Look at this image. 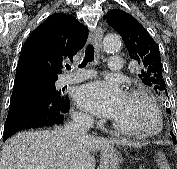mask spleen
<instances>
[{
	"mask_svg": "<svg viewBox=\"0 0 177 169\" xmlns=\"http://www.w3.org/2000/svg\"><path fill=\"white\" fill-rule=\"evenodd\" d=\"M158 164L160 165V169H170V166L165 160L164 155L161 153L158 154Z\"/></svg>",
	"mask_w": 177,
	"mask_h": 169,
	"instance_id": "obj_1",
	"label": "spleen"
}]
</instances>
